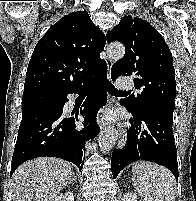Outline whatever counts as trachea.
<instances>
[{"instance_id":"obj_1","label":"trachea","mask_w":196,"mask_h":201,"mask_svg":"<svg viewBox=\"0 0 196 201\" xmlns=\"http://www.w3.org/2000/svg\"><path fill=\"white\" fill-rule=\"evenodd\" d=\"M105 88L106 90L110 93V94H119V93H125L126 91H120V90H117L115 88V86H113V84L110 82V81H106L105 82Z\"/></svg>"}]
</instances>
